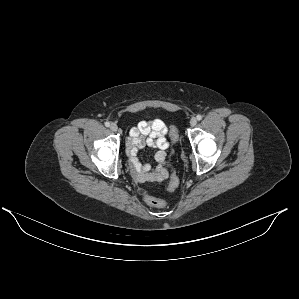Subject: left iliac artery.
Listing matches in <instances>:
<instances>
[{
    "mask_svg": "<svg viewBox=\"0 0 299 299\" xmlns=\"http://www.w3.org/2000/svg\"><path fill=\"white\" fill-rule=\"evenodd\" d=\"M196 118H197L198 121H200L202 119V116L201 115H197Z\"/></svg>",
    "mask_w": 299,
    "mask_h": 299,
    "instance_id": "1",
    "label": "left iliac artery"
}]
</instances>
